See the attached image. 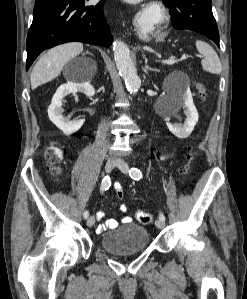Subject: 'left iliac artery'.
Here are the masks:
<instances>
[{"instance_id": "obj_1", "label": "left iliac artery", "mask_w": 247, "mask_h": 299, "mask_svg": "<svg viewBox=\"0 0 247 299\" xmlns=\"http://www.w3.org/2000/svg\"><path fill=\"white\" fill-rule=\"evenodd\" d=\"M129 175L131 176L132 179L134 180H139L142 177V173L138 168H131V170L129 171ZM159 219H161L162 221H165V215L163 212H161L159 214Z\"/></svg>"}]
</instances>
